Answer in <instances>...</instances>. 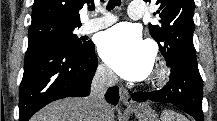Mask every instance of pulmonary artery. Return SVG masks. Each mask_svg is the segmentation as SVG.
<instances>
[{"instance_id": "e3ab8cb5", "label": "pulmonary artery", "mask_w": 217, "mask_h": 121, "mask_svg": "<svg viewBox=\"0 0 217 121\" xmlns=\"http://www.w3.org/2000/svg\"><path fill=\"white\" fill-rule=\"evenodd\" d=\"M145 12H146V7L143 3L135 2V1H132L130 3L129 9H128V16L131 19H139L143 17ZM116 20L117 18L115 16L106 13L99 18L86 21L81 27V32L84 34H89V33L101 30L113 24Z\"/></svg>"}]
</instances>
